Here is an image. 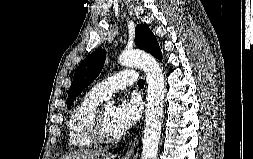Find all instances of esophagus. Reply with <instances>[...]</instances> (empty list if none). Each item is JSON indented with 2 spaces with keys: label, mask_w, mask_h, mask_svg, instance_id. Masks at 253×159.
I'll return each instance as SVG.
<instances>
[{
  "label": "esophagus",
  "mask_w": 253,
  "mask_h": 159,
  "mask_svg": "<svg viewBox=\"0 0 253 159\" xmlns=\"http://www.w3.org/2000/svg\"><path fill=\"white\" fill-rule=\"evenodd\" d=\"M136 138L132 142H130L129 147L126 151V153L122 156L121 159H131L132 157V151H133V146L135 145Z\"/></svg>",
  "instance_id": "obj_1"
}]
</instances>
